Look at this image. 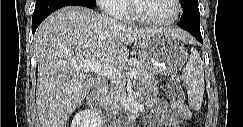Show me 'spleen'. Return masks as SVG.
Returning a JSON list of instances; mask_svg holds the SVG:
<instances>
[{
  "label": "spleen",
  "mask_w": 243,
  "mask_h": 127,
  "mask_svg": "<svg viewBox=\"0 0 243 127\" xmlns=\"http://www.w3.org/2000/svg\"><path fill=\"white\" fill-rule=\"evenodd\" d=\"M182 78L187 88L189 106L194 110H199L203 101L205 82L203 62L198 51L194 48H192L188 62L183 68Z\"/></svg>",
  "instance_id": "obj_1"
}]
</instances>
